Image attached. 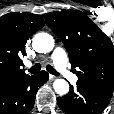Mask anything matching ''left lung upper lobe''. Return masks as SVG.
Returning <instances> with one entry per match:
<instances>
[{
	"instance_id": "left-lung-upper-lobe-1",
	"label": "left lung upper lobe",
	"mask_w": 114,
	"mask_h": 114,
	"mask_svg": "<svg viewBox=\"0 0 114 114\" xmlns=\"http://www.w3.org/2000/svg\"><path fill=\"white\" fill-rule=\"evenodd\" d=\"M69 54L78 81L114 91V46L93 21L75 10L43 15Z\"/></svg>"
}]
</instances>
